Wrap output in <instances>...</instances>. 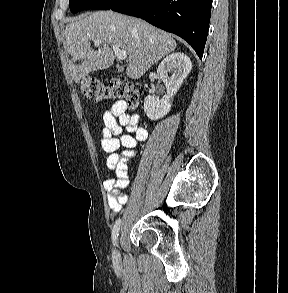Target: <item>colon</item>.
Masks as SVG:
<instances>
[{"instance_id": "colon-1", "label": "colon", "mask_w": 288, "mask_h": 293, "mask_svg": "<svg viewBox=\"0 0 288 293\" xmlns=\"http://www.w3.org/2000/svg\"><path fill=\"white\" fill-rule=\"evenodd\" d=\"M83 95L93 101L124 100L130 107H136L142 94L137 85L124 79L104 83L93 76H86L81 80Z\"/></svg>"}]
</instances>
